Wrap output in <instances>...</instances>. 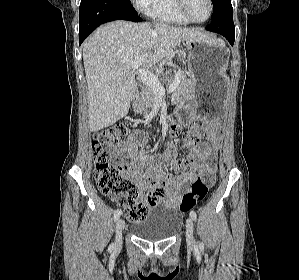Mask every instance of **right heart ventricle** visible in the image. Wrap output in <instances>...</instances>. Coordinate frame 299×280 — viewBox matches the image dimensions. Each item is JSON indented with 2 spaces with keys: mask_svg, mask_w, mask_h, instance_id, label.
<instances>
[{
  "mask_svg": "<svg viewBox=\"0 0 299 280\" xmlns=\"http://www.w3.org/2000/svg\"><path fill=\"white\" fill-rule=\"evenodd\" d=\"M147 14L153 19L176 25H187V21L177 10L175 0H152Z\"/></svg>",
  "mask_w": 299,
  "mask_h": 280,
  "instance_id": "1",
  "label": "right heart ventricle"
}]
</instances>
